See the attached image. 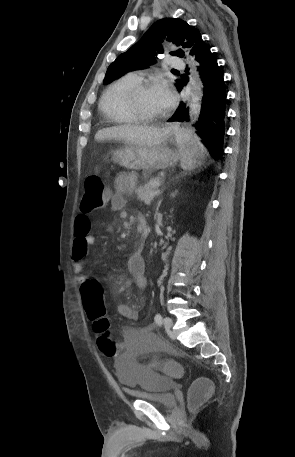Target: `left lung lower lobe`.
Masks as SVG:
<instances>
[{"label": "left lung lower lobe", "mask_w": 295, "mask_h": 457, "mask_svg": "<svg viewBox=\"0 0 295 457\" xmlns=\"http://www.w3.org/2000/svg\"><path fill=\"white\" fill-rule=\"evenodd\" d=\"M190 55L198 61V71L204 86L201 112L196 123V134L214 159H220L225 134L226 89L217 60L207 44L200 38L192 47ZM188 73V70H187ZM186 83V80H184ZM183 83L178 88L181 91ZM188 108L181 102L174 115L168 120H189Z\"/></svg>", "instance_id": "0a47b994"}]
</instances>
